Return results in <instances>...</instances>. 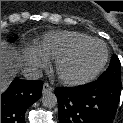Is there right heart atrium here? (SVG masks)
Wrapping results in <instances>:
<instances>
[{
	"instance_id": "1",
	"label": "right heart atrium",
	"mask_w": 123,
	"mask_h": 123,
	"mask_svg": "<svg viewBox=\"0 0 123 123\" xmlns=\"http://www.w3.org/2000/svg\"><path fill=\"white\" fill-rule=\"evenodd\" d=\"M24 61L27 66L35 71H38L47 65V59L33 49L25 52Z\"/></svg>"
}]
</instances>
